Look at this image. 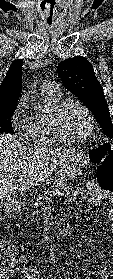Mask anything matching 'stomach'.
<instances>
[{
  "mask_svg": "<svg viewBox=\"0 0 113 279\" xmlns=\"http://www.w3.org/2000/svg\"><path fill=\"white\" fill-rule=\"evenodd\" d=\"M89 162L88 154L80 150H72L69 158L60 167L61 179L68 181L81 175Z\"/></svg>",
  "mask_w": 113,
  "mask_h": 279,
  "instance_id": "stomach-1",
  "label": "stomach"
}]
</instances>
